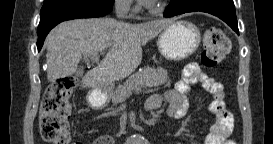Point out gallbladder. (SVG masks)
<instances>
[{
  "label": "gallbladder",
  "mask_w": 273,
  "mask_h": 144,
  "mask_svg": "<svg viewBox=\"0 0 273 144\" xmlns=\"http://www.w3.org/2000/svg\"><path fill=\"white\" fill-rule=\"evenodd\" d=\"M76 72L74 73L76 76H82L84 73V68H76Z\"/></svg>",
  "instance_id": "1"
}]
</instances>
